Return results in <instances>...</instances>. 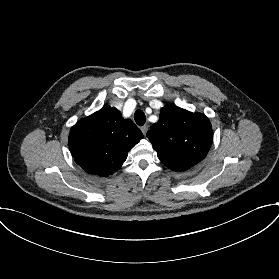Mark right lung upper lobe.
Listing matches in <instances>:
<instances>
[{
    "mask_svg": "<svg viewBox=\"0 0 279 279\" xmlns=\"http://www.w3.org/2000/svg\"><path fill=\"white\" fill-rule=\"evenodd\" d=\"M142 138L130 119L124 120L116 108L104 106L71 128L69 148L84 171L107 177L122 166L127 153Z\"/></svg>",
    "mask_w": 279,
    "mask_h": 279,
    "instance_id": "1",
    "label": "right lung upper lobe"
}]
</instances>
